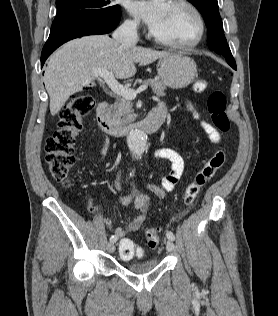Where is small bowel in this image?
Listing matches in <instances>:
<instances>
[{
  "instance_id": "small-bowel-1",
  "label": "small bowel",
  "mask_w": 278,
  "mask_h": 316,
  "mask_svg": "<svg viewBox=\"0 0 278 316\" xmlns=\"http://www.w3.org/2000/svg\"><path fill=\"white\" fill-rule=\"evenodd\" d=\"M158 106L165 109L163 104H159ZM188 109L191 111L195 119L200 120L201 126L208 134L211 141L216 144L219 143L221 140V133L210 123L203 120L191 104H188ZM107 150L108 142L105 141L100 149L101 159L107 154ZM153 157L156 159L167 160L170 163V171L163 177L162 187H158L153 184L147 185V190L150 193L157 198H162L166 192L172 191L178 184L184 172L185 163L182 156L176 150L169 147L156 149L153 153ZM114 185L117 189H121V176L119 173L114 180ZM120 202L124 207L133 205L136 210V216L127 228L119 227L114 231L115 236L122 240L125 239L128 233L138 231L142 227L146 219L149 203L151 202V196L147 193L132 190L129 194L121 197ZM104 221L108 226L112 225V220L110 218H104Z\"/></svg>"
}]
</instances>
